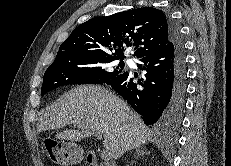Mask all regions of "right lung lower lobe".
I'll return each mask as SVG.
<instances>
[{
    "instance_id": "obj_1",
    "label": "right lung lower lobe",
    "mask_w": 231,
    "mask_h": 166,
    "mask_svg": "<svg viewBox=\"0 0 231 166\" xmlns=\"http://www.w3.org/2000/svg\"><path fill=\"white\" fill-rule=\"evenodd\" d=\"M169 43L156 53L140 58L144 78L133 82L123 72L106 83L142 115L145 124L157 134L175 130L181 121L186 93V67L183 39L176 24L170 20Z\"/></svg>"
}]
</instances>
